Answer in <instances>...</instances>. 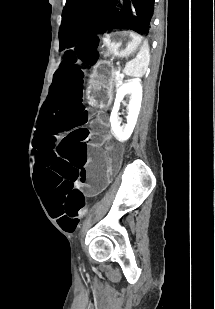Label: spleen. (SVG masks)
<instances>
[{
    "mask_svg": "<svg viewBox=\"0 0 215 309\" xmlns=\"http://www.w3.org/2000/svg\"><path fill=\"white\" fill-rule=\"evenodd\" d=\"M150 60V52L147 40H144L137 56L125 64L124 72L129 76H143L145 74Z\"/></svg>",
    "mask_w": 215,
    "mask_h": 309,
    "instance_id": "3e777b00",
    "label": "spleen"
}]
</instances>
